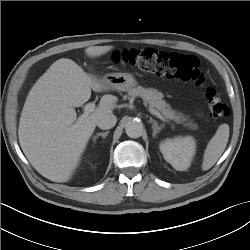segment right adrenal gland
I'll return each mask as SVG.
<instances>
[{
  "mask_svg": "<svg viewBox=\"0 0 250 250\" xmlns=\"http://www.w3.org/2000/svg\"><path fill=\"white\" fill-rule=\"evenodd\" d=\"M109 131H106V132H101V133H98L96 136H94V141L99 138L100 136L105 139L106 136L108 135Z\"/></svg>",
  "mask_w": 250,
  "mask_h": 250,
  "instance_id": "1",
  "label": "right adrenal gland"
}]
</instances>
